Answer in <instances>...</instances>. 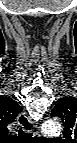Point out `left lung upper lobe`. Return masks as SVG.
Segmentation results:
<instances>
[{"mask_svg":"<svg viewBox=\"0 0 77 143\" xmlns=\"http://www.w3.org/2000/svg\"><path fill=\"white\" fill-rule=\"evenodd\" d=\"M51 115L61 118L64 124L63 134L67 139L77 135V98L63 97L59 99Z\"/></svg>","mask_w":77,"mask_h":143,"instance_id":"5c2ea615","label":"left lung upper lobe"}]
</instances>
